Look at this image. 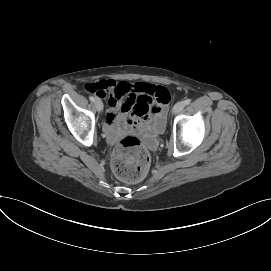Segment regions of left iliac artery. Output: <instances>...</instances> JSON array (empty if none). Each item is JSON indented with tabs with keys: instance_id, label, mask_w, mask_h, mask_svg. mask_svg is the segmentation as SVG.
<instances>
[{
	"instance_id": "obj_1",
	"label": "left iliac artery",
	"mask_w": 271,
	"mask_h": 271,
	"mask_svg": "<svg viewBox=\"0 0 271 271\" xmlns=\"http://www.w3.org/2000/svg\"><path fill=\"white\" fill-rule=\"evenodd\" d=\"M190 102H191V100H190V99H187V100L184 101V104H185V105H188V104H190Z\"/></svg>"
}]
</instances>
